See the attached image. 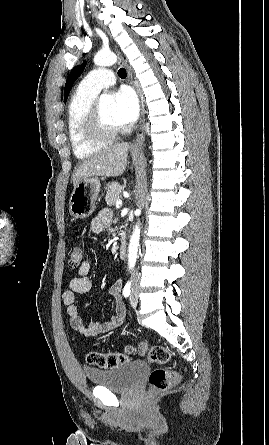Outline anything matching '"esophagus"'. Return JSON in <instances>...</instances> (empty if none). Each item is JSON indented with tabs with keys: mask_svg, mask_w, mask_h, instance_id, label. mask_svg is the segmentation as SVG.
Returning a JSON list of instances; mask_svg holds the SVG:
<instances>
[{
	"mask_svg": "<svg viewBox=\"0 0 269 445\" xmlns=\"http://www.w3.org/2000/svg\"><path fill=\"white\" fill-rule=\"evenodd\" d=\"M117 53H118L119 63H121L126 68L128 80L131 83V85L135 88V90L138 94V97H139V101H140V107H141L140 125H139V130L137 132L136 139L134 141V146L137 148L142 145L144 138H145V110H144L143 96L140 91V88L138 87V85L135 84V82L133 80L131 68L128 66L126 60H124L122 55H120L119 52H117Z\"/></svg>",
	"mask_w": 269,
	"mask_h": 445,
	"instance_id": "obj_1",
	"label": "esophagus"
}]
</instances>
